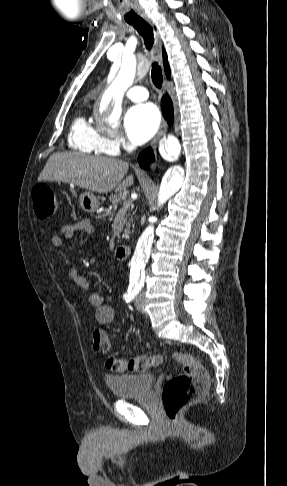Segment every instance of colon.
<instances>
[{"mask_svg": "<svg viewBox=\"0 0 287 486\" xmlns=\"http://www.w3.org/2000/svg\"><path fill=\"white\" fill-rule=\"evenodd\" d=\"M32 199L33 209L38 218L48 219L55 214L57 200L54 191L48 184H36L32 189ZM93 347L99 352L109 350V339L103 330L93 332ZM168 358L182 365V371L168 378L162 387L165 414L170 421L176 422L180 411L199 399L209 384L206 369L194 356L174 352L169 356L143 354L131 358L112 357L107 359L106 367L114 372H144L160 366Z\"/></svg>", "mask_w": 287, "mask_h": 486, "instance_id": "5ec220e1", "label": "colon"}]
</instances>
